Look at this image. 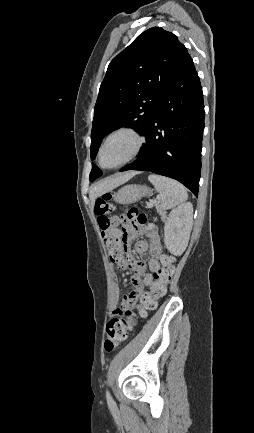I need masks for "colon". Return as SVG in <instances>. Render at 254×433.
Listing matches in <instances>:
<instances>
[{
  "instance_id": "obj_1",
  "label": "colon",
  "mask_w": 254,
  "mask_h": 433,
  "mask_svg": "<svg viewBox=\"0 0 254 433\" xmlns=\"http://www.w3.org/2000/svg\"><path fill=\"white\" fill-rule=\"evenodd\" d=\"M111 194L106 193L96 199L94 210L98 224L102 230L103 241L109 259L114 262L124 257L127 249L128 230L124 221L132 226L141 227L150 219L147 213L137 207L128 208L120 217L109 215L111 211ZM175 274L174 258L164 255L161 258V266L155 275V282L151 290L143 294L137 316L144 317L147 310L156 307L157 300L166 294L167 285ZM136 324L135 314L123 307L121 312L114 315L106 323L105 350L112 352L125 342Z\"/></svg>"
}]
</instances>
